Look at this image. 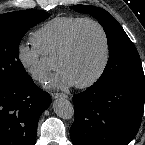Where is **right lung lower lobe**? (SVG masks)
<instances>
[{
  "instance_id": "1",
  "label": "right lung lower lobe",
  "mask_w": 145,
  "mask_h": 145,
  "mask_svg": "<svg viewBox=\"0 0 145 145\" xmlns=\"http://www.w3.org/2000/svg\"><path fill=\"white\" fill-rule=\"evenodd\" d=\"M50 102L30 76L23 84L0 86V145H35L37 122Z\"/></svg>"
}]
</instances>
